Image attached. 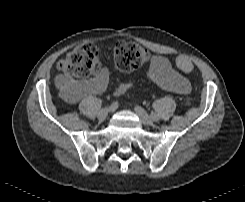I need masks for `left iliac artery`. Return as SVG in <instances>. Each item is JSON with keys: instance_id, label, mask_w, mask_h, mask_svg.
<instances>
[{"instance_id": "left-iliac-artery-1", "label": "left iliac artery", "mask_w": 245, "mask_h": 202, "mask_svg": "<svg viewBox=\"0 0 245 202\" xmlns=\"http://www.w3.org/2000/svg\"><path fill=\"white\" fill-rule=\"evenodd\" d=\"M152 117H153L154 119H156V116H155V115H152Z\"/></svg>"}]
</instances>
